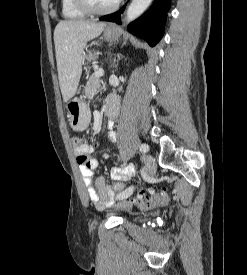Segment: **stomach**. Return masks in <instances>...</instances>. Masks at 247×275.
<instances>
[{
	"instance_id": "1",
	"label": "stomach",
	"mask_w": 247,
	"mask_h": 275,
	"mask_svg": "<svg viewBox=\"0 0 247 275\" xmlns=\"http://www.w3.org/2000/svg\"><path fill=\"white\" fill-rule=\"evenodd\" d=\"M116 35V29L107 28L104 31V37L106 40H112ZM90 57L93 58L92 55ZM66 108L68 110L70 126L76 131L85 130L88 127L91 118L87 104L82 99L75 97L67 102Z\"/></svg>"
}]
</instances>
